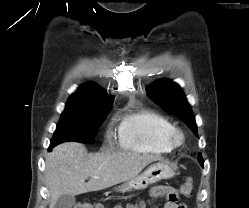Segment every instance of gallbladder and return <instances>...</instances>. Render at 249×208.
Instances as JSON below:
<instances>
[{
  "mask_svg": "<svg viewBox=\"0 0 249 208\" xmlns=\"http://www.w3.org/2000/svg\"><path fill=\"white\" fill-rule=\"evenodd\" d=\"M75 204V197L73 195L64 194L56 201L54 208H72Z\"/></svg>",
  "mask_w": 249,
  "mask_h": 208,
  "instance_id": "bac80fb5",
  "label": "gallbladder"
}]
</instances>
